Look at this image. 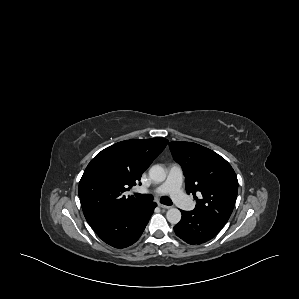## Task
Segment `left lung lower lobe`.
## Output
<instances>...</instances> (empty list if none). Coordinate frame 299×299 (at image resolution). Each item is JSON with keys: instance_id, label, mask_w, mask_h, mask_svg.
<instances>
[{"instance_id": "left-lung-lower-lobe-1", "label": "left lung lower lobe", "mask_w": 299, "mask_h": 299, "mask_svg": "<svg viewBox=\"0 0 299 299\" xmlns=\"http://www.w3.org/2000/svg\"><path fill=\"white\" fill-rule=\"evenodd\" d=\"M182 219L174 227L178 237L188 244H201L214 238L222 229L209 218L193 211H181Z\"/></svg>"}]
</instances>
